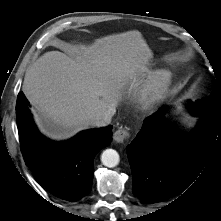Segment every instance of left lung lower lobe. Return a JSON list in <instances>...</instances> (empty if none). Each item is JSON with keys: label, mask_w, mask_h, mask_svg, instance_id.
<instances>
[{"label": "left lung lower lobe", "mask_w": 221, "mask_h": 221, "mask_svg": "<svg viewBox=\"0 0 221 221\" xmlns=\"http://www.w3.org/2000/svg\"><path fill=\"white\" fill-rule=\"evenodd\" d=\"M163 113L161 109L147 117L127 146L133 194L146 203L177 195L194 182L216 144H221V118L200 116L192 136L178 141L167 133Z\"/></svg>", "instance_id": "left-lung-lower-lobe-1"}]
</instances>
